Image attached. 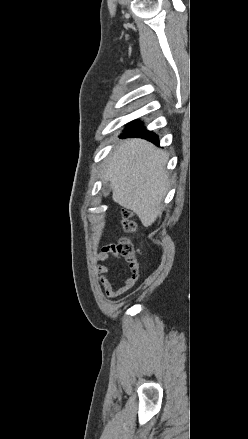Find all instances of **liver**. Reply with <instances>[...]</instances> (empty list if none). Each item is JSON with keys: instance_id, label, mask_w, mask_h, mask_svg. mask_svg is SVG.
I'll return each mask as SVG.
<instances>
[{"instance_id": "6515ba94", "label": "liver", "mask_w": 248, "mask_h": 439, "mask_svg": "<svg viewBox=\"0 0 248 439\" xmlns=\"http://www.w3.org/2000/svg\"><path fill=\"white\" fill-rule=\"evenodd\" d=\"M167 154L143 139H126L106 159L102 179L110 182L112 198L132 210L146 226L161 216L169 188Z\"/></svg>"}]
</instances>
